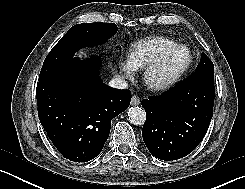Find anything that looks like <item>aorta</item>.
I'll return each instance as SVG.
<instances>
[{"label":"aorta","mask_w":245,"mask_h":189,"mask_svg":"<svg viewBox=\"0 0 245 189\" xmlns=\"http://www.w3.org/2000/svg\"><path fill=\"white\" fill-rule=\"evenodd\" d=\"M128 118L134 125H143L146 121V112L141 107H131L128 110Z\"/></svg>","instance_id":"aorta-1"}]
</instances>
